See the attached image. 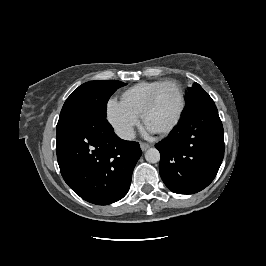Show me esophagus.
<instances>
[{
  "mask_svg": "<svg viewBox=\"0 0 266 266\" xmlns=\"http://www.w3.org/2000/svg\"><path fill=\"white\" fill-rule=\"evenodd\" d=\"M140 147L142 151H146L150 147V144L145 142H140Z\"/></svg>",
  "mask_w": 266,
  "mask_h": 266,
  "instance_id": "34e87169",
  "label": "esophagus"
}]
</instances>
